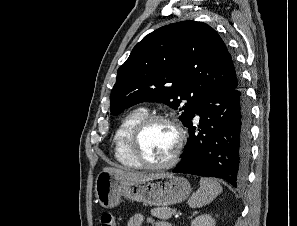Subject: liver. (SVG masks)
Instances as JSON below:
<instances>
[{
    "label": "liver",
    "instance_id": "liver-1",
    "mask_svg": "<svg viewBox=\"0 0 297 226\" xmlns=\"http://www.w3.org/2000/svg\"><path fill=\"white\" fill-rule=\"evenodd\" d=\"M103 171H108L113 173L116 177L120 179H126V180H142V179H148L151 177H154L157 174H144V173H139V172H129V171H124L121 169H116V168H104Z\"/></svg>",
    "mask_w": 297,
    "mask_h": 226
}]
</instances>
